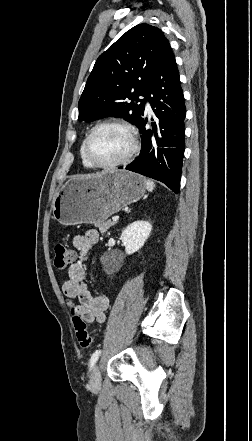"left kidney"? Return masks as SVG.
Here are the masks:
<instances>
[{
  "label": "left kidney",
  "instance_id": "obj_1",
  "mask_svg": "<svg viewBox=\"0 0 252 441\" xmlns=\"http://www.w3.org/2000/svg\"><path fill=\"white\" fill-rule=\"evenodd\" d=\"M151 230L152 225L144 220H137L127 226L121 234L126 254L131 255L137 252L148 239Z\"/></svg>",
  "mask_w": 252,
  "mask_h": 441
}]
</instances>
